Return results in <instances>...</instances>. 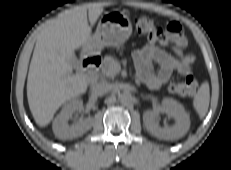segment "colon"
Here are the masks:
<instances>
[{"instance_id": "1", "label": "colon", "mask_w": 231, "mask_h": 170, "mask_svg": "<svg viewBox=\"0 0 231 170\" xmlns=\"http://www.w3.org/2000/svg\"><path fill=\"white\" fill-rule=\"evenodd\" d=\"M135 27L138 33L150 38H159L164 32L151 17L145 15L138 16L135 19ZM198 87V80L193 75H187L182 81L170 85L169 89L176 95L189 97L197 93Z\"/></svg>"}]
</instances>
